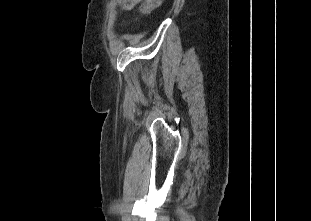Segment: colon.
I'll use <instances>...</instances> for the list:
<instances>
[{"label": "colon", "mask_w": 311, "mask_h": 221, "mask_svg": "<svg viewBox=\"0 0 311 221\" xmlns=\"http://www.w3.org/2000/svg\"><path fill=\"white\" fill-rule=\"evenodd\" d=\"M163 0H142L140 5V14L146 16L150 14L153 10L158 8ZM136 1H121L118 7L119 12H126L127 8H136Z\"/></svg>", "instance_id": "5ec220e1"}]
</instances>
